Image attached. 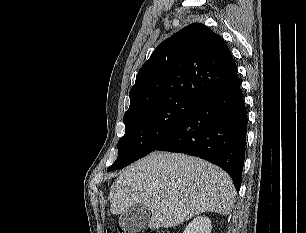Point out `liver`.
Listing matches in <instances>:
<instances>
[{"label": "liver", "mask_w": 306, "mask_h": 233, "mask_svg": "<svg viewBox=\"0 0 306 233\" xmlns=\"http://www.w3.org/2000/svg\"><path fill=\"white\" fill-rule=\"evenodd\" d=\"M236 191L221 168L181 153L153 152L127 167L110 189V211L135 204L152 212L148 226L171 228L203 212L228 215Z\"/></svg>", "instance_id": "6515ba94"}]
</instances>
